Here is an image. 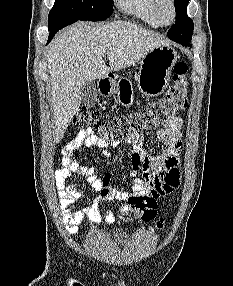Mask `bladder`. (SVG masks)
<instances>
[{
	"mask_svg": "<svg viewBox=\"0 0 233 286\" xmlns=\"http://www.w3.org/2000/svg\"><path fill=\"white\" fill-rule=\"evenodd\" d=\"M127 233L123 229H118L113 233V239L115 242L121 244L127 240Z\"/></svg>",
	"mask_w": 233,
	"mask_h": 286,
	"instance_id": "bladder-1",
	"label": "bladder"
}]
</instances>
